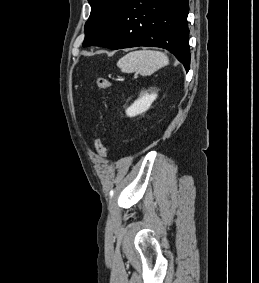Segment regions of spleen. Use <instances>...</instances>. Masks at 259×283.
<instances>
[{
  "mask_svg": "<svg viewBox=\"0 0 259 283\" xmlns=\"http://www.w3.org/2000/svg\"><path fill=\"white\" fill-rule=\"evenodd\" d=\"M168 65L167 56L160 51L138 50L122 57L117 66L123 72H138L143 76L151 75L155 71Z\"/></svg>",
  "mask_w": 259,
  "mask_h": 283,
  "instance_id": "spleen-1",
  "label": "spleen"
}]
</instances>
